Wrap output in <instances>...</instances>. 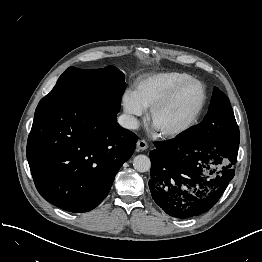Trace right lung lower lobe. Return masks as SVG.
Listing matches in <instances>:
<instances>
[{"mask_svg":"<svg viewBox=\"0 0 262 262\" xmlns=\"http://www.w3.org/2000/svg\"><path fill=\"white\" fill-rule=\"evenodd\" d=\"M116 118L83 99H41L28 137L27 159L44 199L75 213L101 203L137 142Z\"/></svg>","mask_w":262,"mask_h":262,"instance_id":"right-lung-lower-lobe-1","label":"right lung lower lobe"}]
</instances>
